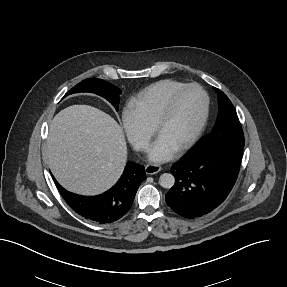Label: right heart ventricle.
<instances>
[{
	"instance_id": "e07e8e85",
	"label": "right heart ventricle",
	"mask_w": 287,
	"mask_h": 287,
	"mask_svg": "<svg viewBox=\"0 0 287 287\" xmlns=\"http://www.w3.org/2000/svg\"><path fill=\"white\" fill-rule=\"evenodd\" d=\"M184 85L173 79L158 81L132 98L128 103V110L134 113L145 126L153 129L170 95Z\"/></svg>"
}]
</instances>
